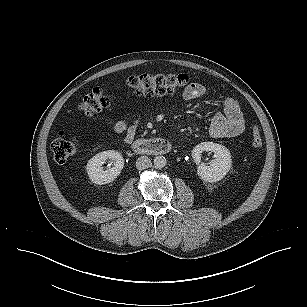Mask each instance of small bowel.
<instances>
[{"label": "small bowel", "instance_id": "1", "mask_svg": "<svg viewBox=\"0 0 307 307\" xmlns=\"http://www.w3.org/2000/svg\"><path fill=\"white\" fill-rule=\"evenodd\" d=\"M210 94L211 91L204 85L192 83L184 91L183 98L185 100H195L207 97ZM222 104V110L214 113L210 118L209 136L213 139L239 136L246 127L240 103L232 97H225ZM139 122V117L123 120L107 119L106 125L115 133L123 135L125 142L130 143L136 136Z\"/></svg>", "mask_w": 307, "mask_h": 307}]
</instances>
